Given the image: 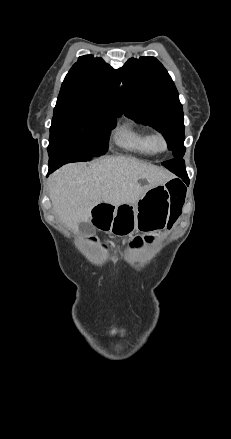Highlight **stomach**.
<instances>
[{
	"instance_id": "obj_1",
	"label": "stomach",
	"mask_w": 231,
	"mask_h": 439,
	"mask_svg": "<svg viewBox=\"0 0 231 439\" xmlns=\"http://www.w3.org/2000/svg\"><path fill=\"white\" fill-rule=\"evenodd\" d=\"M128 207V217L121 218L112 226L115 234L129 235L136 230L162 229L170 216V195L165 184L158 185L149 189L135 205Z\"/></svg>"
}]
</instances>
